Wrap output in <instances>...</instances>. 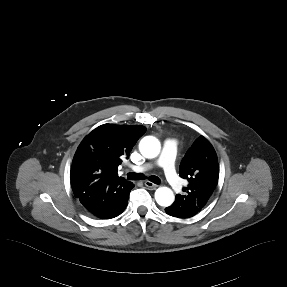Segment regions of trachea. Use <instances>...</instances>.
I'll list each match as a JSON object with an SVG mask.
<instances>
[{
  "mask_svg": "<svg viewBox=\"0 0 287 287\" xmlns=\"http://www.w3.org/2000/svg\"><path fill=\"white\" fill-rule=\"evenodd\" d=\"M146 177L143 174H138V173H134V172H130L127 175V179L128 180H144ZM149 181L155 183V184H159L160 183V179L155 176L152 175L148 178Z\"/></svg>",
  "mask_w": 287,
  "mask_h": 287,
  "instance_id": "obj_1",
  "label": "trachea"
}]
</instances>
